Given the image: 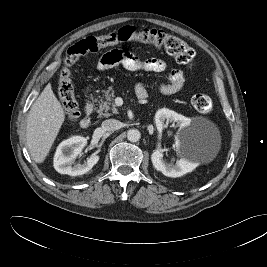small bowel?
Returning a JSON list of instances; mask_svg holds the SVG:
<instances>
[{"label":"small bowel","instance_id":"c3829d8e","mask_svg":"<svg viewBox=\"0 0 267 267\" xmlns=\"http://www.w3.org/2000/svg\"><path fill=\"white\" fill-rule=\"evenodd\" d=\"M121 66L130 71H147V72H163L167 69L166 61L158 58H149L141 60L133 53L125 50L113 49L103 54L97 62V69L106 71L114 67ZM185 85V74L183 70L173 69L168 75V82L157 86L160 93L164 95H172ZM135 92L138 98H146L147 91L142 83H137Z\"/></svg>","mask_w":267,"mask_h":267}]
</instances>
